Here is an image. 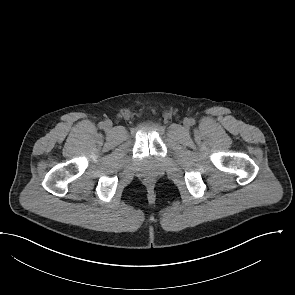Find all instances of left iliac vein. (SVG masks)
Returning <instances> with one entry per match:
<instances>
[{"label": "left iliac vein", "mask_w": 295, "mask_h": 295, "mask_svg": "<svg viewBox=\"0 0 295 295\" xmlns=\"http://www.w3.org/2000/svg\"><path fill=\"white\" fill-rule=\"evenodd\" d=\"M183 124H184V127L185 128H189L190 127V119L188 118H185L184 121H183Z\"/></svg>", "instance_id": "obj_1"}]
</instances>
